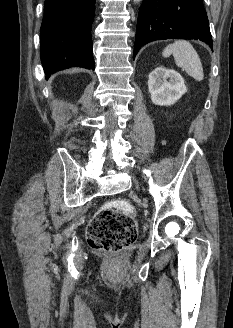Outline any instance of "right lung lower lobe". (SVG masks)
<instances>
[{
    "label": "right lung lower lobe",
    "instance_id": "98d812e1",
    "mask_svg": "<svg viewBox=\"0 0 233 328\" xmlns=\"http://www.w3.org/2000/svg\"><path fill=\"white\" fill-rule=\"evenodd\" d=\"M94 14L95 0L45 1L40 54L46 78L75 66L94 69Z\"/></svg>",
    "mask_w": 233,
    "mask_h": 328
}]
</instances>
